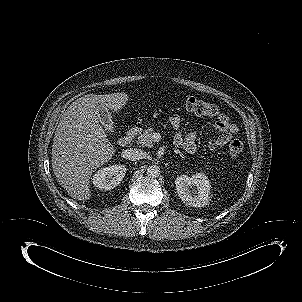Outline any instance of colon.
<instances>
[{
  "instance_id": "5ec220e1",
  "label": "colon",
  "mask_w": 302,
  "mask_h": 302,
  "mask_svg": "<svg viewBox=\"0 0 302 302\" xmlns=\"http://www.w3.org/2000/svg\"><path fill=\"white\" fill-rule=\"evenodd\" d=\"M186 107L197 115L215 116L219 113V108L216 105L204 102L194 97L187 99ZM229 150L234 157H238L243 150L242 142L238 139L232 140L229 145Z\"/></svg>"
}]
</instances>
